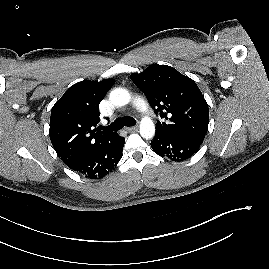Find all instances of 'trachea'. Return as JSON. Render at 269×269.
Here are the masks:
<instances>
[{"mask_svg":"<svg viewBox=\"0 0 269 269\" xmlns=\"http://www.w3.org/2000/svg\"><path fill=\"white\" fill-rule=\"evenodd\" d=\"M136 124V120L132 117H123V118H117L113 123H111L107 127L101 126L102 130L106 131H117L123 128L124 126H134Z\"/></svg>","mask_w":269,"mask_h":269,"instance_id":"3493384b","label":"trachea"}]
</instances>
